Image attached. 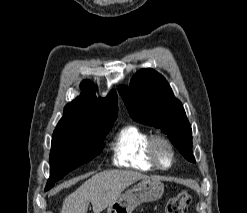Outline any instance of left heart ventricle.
I'll return each mask as SVG.
<instances>
[{"instance_id": "obj_1", "label": "left heart ventricle", "mask_w": 247, "mask_h": 213, "mask_svg": "<svg viewBox=\"0 0 247 213\" xmlns=\"http://www.w3.org/2000/svg\"><path fill=\"white\" fill-rule=\"evenodd\" d=\"M159 156L163 163L167 164L170 160L169 153L165 147L159 148Z\"/></svg>"}]
</instances>
